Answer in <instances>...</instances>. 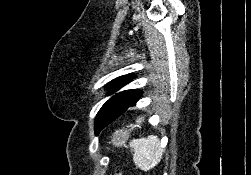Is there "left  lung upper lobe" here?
<instances>
[{"label": "left lung upper lobe", "mask_w": 251, "mask_h": 175, "mask_svg": "<svg viewBox=\"0 0 251 175\" xmlns=\"http://www.w3.org/2000/svg\"><path fill=\"white\" fill-rule=\"evenodd\" d=\"M134 78H135V76L133 74L120 76V77L112 80L111 82H109L107 84V87H109L111 92H115L119 88L124 86L125 84L131 82L132 79H134ZM135 91L136 90H134V89L125 90V91H122V92L114 95L102 106V108L105 106H108L110 104H113V103L121 104V105L126 104L127 102H129V100L131 99V97ZM98 116H99V114L97 115L96 120H95V134L96 135H98L100 133V131L107 126V124H105L104 121H102V119H100Z\"/></svg>", "instance_id": "obj_1"}]
</instances>
